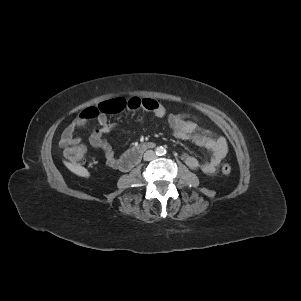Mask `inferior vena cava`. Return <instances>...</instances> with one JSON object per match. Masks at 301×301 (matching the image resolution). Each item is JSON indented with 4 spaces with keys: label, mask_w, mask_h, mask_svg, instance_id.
<instances>
[{
    "label": "inferior vena cava",
    "mask_w": 301,
    "mask_h": 301,
    "mask_svg": "<svg viewBox=\"0 0 301 301\" xmlns=\"http://www.w3.org/2000/svg\"><path fill=\"white\" fill-rule=\"evenodd\" d=\"M143 158H144L145 161H151V160H153V159L156 158V154H155L154 151L148 150V151H146V152L144 153Z\"/></svg>",
    "instance_id": "inferior-vena-cava-1"
}]
</instances>
